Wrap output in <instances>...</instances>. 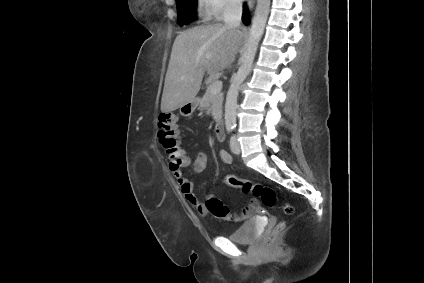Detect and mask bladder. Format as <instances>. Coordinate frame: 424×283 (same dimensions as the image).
I'll return each instance as SVG.
<instances>
[{"instance_id":"obj_1","label":"bladder","mask_w":424,"mask_h":283,"mask_svg":"<svg viewBox=\"0 0 424 283\" xmlns=\"http://www.w3.org/2000/svg\"><path fill=\"white\" fill-rule=\"evenodd\" d=\"M261 227L256 219L244 222L239 228L228 235V238L238 244H251L260 235Z\"/></svg>"}]
</instances>
